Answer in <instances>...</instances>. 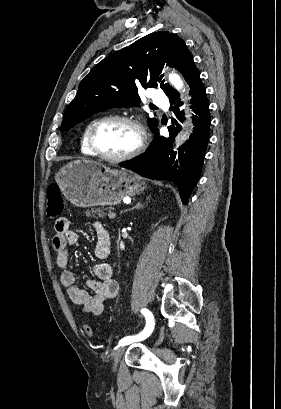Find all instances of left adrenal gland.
Here are the masks:
<instances>
[{"mask_svg": "<svg viewBox=\"0 0 281 409\" xmlns=\"http://www.w3.org/2000/svg\"><path fill=\"white\" fill-rule=\"evenodd\" d=\"M133 209H143L142 202H137V205L135 207H132V209H128V211H133ZM125 213V211H123Z\"/></svg>", "mask_w": 281, "mask_h": 409, "instance_id": "a2214340", "label": "left adrenal gland"}]
</instances>
